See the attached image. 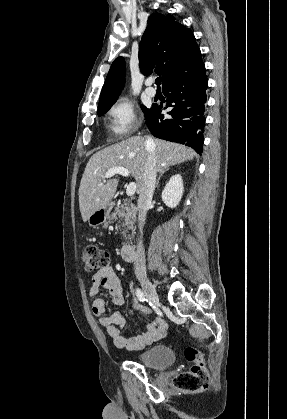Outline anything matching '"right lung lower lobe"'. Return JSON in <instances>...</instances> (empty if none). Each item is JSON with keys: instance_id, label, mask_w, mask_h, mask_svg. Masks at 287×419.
Instances as JSON below:
<instances>
[{"instance_id": "1", "label": "right lung lower lobe", "mask_w": 287, "mask_h": 419, "mask_svg": "<svg viewBox=\"0 0 287 419\" xmlns=\"http://www.w3.org/2000/svg\"><path fill=\"white\" fill-rule=\"evenodd\" d=\"M207 88L205 66L197 73L164 85L166 105H153L145 118L150 132L160 139L185 144L201 154ZM167 107L172 109L164 116L161 111Z\"/></svg>"}]
</instances>
